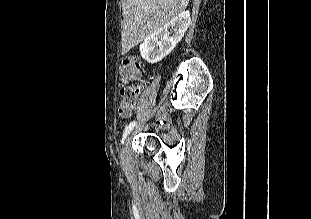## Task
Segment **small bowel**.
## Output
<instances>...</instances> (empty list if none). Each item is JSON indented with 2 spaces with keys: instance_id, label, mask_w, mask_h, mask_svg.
Returning <instances> with one entry per match:
<instances>
[{
  "instance_id": "1",
  "label": "small bowel",
  "mask_w": 311,
  "mask_h": 219,
  "mask_svg": "<svg viewBox=\"0 0 311 219\" xmlns=\"http://www.w3.org/2000/svg\"><path fill=\"white\" fill-rule=\"evenodd\" d=\"M134 111H135V107H134V106H132V107H130V108H125V107L123 106L122 103L120 104V107H119V114H120L122 117L127 118V117L131 116V114H132Z\"/></svg>"
}]
</instances>
